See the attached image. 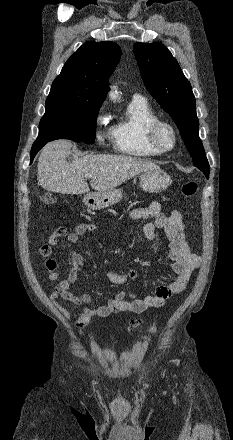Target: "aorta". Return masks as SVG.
<instances>
[{
    "label": "aorta",
    "mask_w": 233,
    "mask_h": 440,
    "mask_svg": "<svg viewBox=\"0 0 233 440\" xmlns=\"http://www.w3.org/2000/svg\"><path fill=\"white\" fill-rule=\"evenodd\" d=\"M110 97H111L112 99H116V98H117V95H116V93H111V94H110Z\"/></svg>",
    "instance_id": "obj_1"
}]
</instances>
